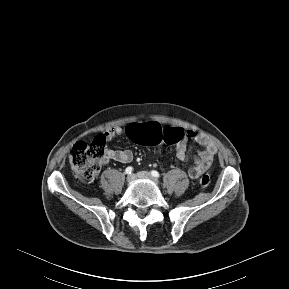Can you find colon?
<instances>
[{
  "label": "colon",
  "instance_id": "obj_1",
  "mask_svg": "<svg viewBox=\"0 0 289 289\" xmlns=\"http://www.w3.org/2000/svg\"><path fill=\"white\" fill-rule=\"evenodd\" d=\"M125 134L129 139L143 145H155L160 142L176 143L186 136V132L180 128L163 130L161 125L155 122L147 125L131 123L126 127ZM104 156L105 139L102 135L97 136L90 144L84 141L77 142L69 156L77 180L82 183L92 181ZM210 181V176L204 174L201 176L199 183L202 187H207Z\"/></svg>",
  "mask_w": 289,
  "mask_h": 289
}]
</instances>
